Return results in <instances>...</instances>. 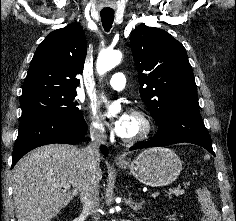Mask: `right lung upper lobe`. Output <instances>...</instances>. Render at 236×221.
Masks as SVG:
<instances>
[{"label":"right lung upper lobe","mask_w":236,"mask_h":221,"mask_svg":"<svg viewBox=\"0 0 236 221\" xmlns=\"http://www.w3.org/2000/svg\"><path fill=\"white\" fill-rule=\"evenodd\" d=\"M87 44L78 23L57 29L38 46L23 84L22 94L40 89L76 91Z\"/></svg>","instance_id":"cb5924a9"}]
</instances>
